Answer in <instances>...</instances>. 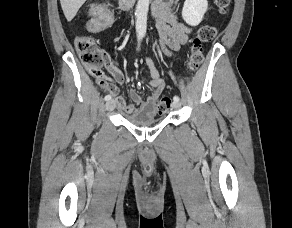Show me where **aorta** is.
Returning a JSON list of instances; mask_svg holds the SVG:
<instances>
[{"instance_id": "1", "label": "aorta", "mask_w": 292, "mask_h": 228, "mask_svg": "<svg viewBox=\"0 0 292 228\" xmlns=\"http://www.w3.org/2000/svg\"><path fill=\"white\" fill-rule=\"evenodd\" d=\"M149 10V0H138L136 6V31L145 33L147 27V14Z\"/></svg>"}]
</instances>
